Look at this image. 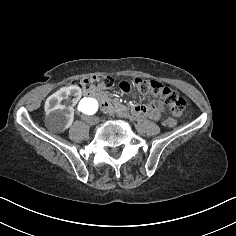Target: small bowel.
<instances>
[{
    "instance_id": "1",
    "label": "small bowel",
    "mask_w": 236,
    "mask_h": 236,
    "mask_svg": "<svg viewBox=\"0 0 236 236\" xmlns=\"http://www.w3.org/2000/svg\"><path fill=\"white\" fill-rule=\"evenodd\" d=\"M163 104L161 102H152L147 105L133 106V114L137 117H146L154 121L160 120L163 113Z\"/></svg>"
}]
</instances>
